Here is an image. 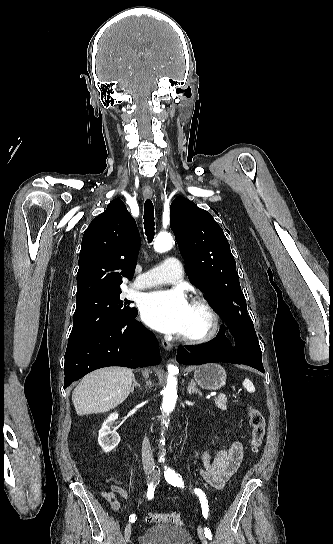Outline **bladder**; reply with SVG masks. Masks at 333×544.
I'll return each instance as SVG.
<instances>
[{
  "label": "bladder",
  "instance_id": "1",
  "mask_svg": "<svg viewBox=\"0 0 333 544\" xmlns=\"http://www.w3.org/2000/svg\"><path fill=\"white\" fill-rule=\"evenodd\" d=\"M139 544H194L190 533L175 525H160L146 529Z\"/></svg>",
  "mask_w": 333,
  "mask_h": 544
}]
</instances>
